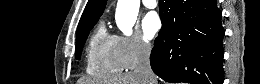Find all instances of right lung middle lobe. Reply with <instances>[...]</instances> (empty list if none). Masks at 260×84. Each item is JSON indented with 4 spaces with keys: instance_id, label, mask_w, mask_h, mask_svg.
I'll return each mask as SVG.
<instances>
[{
    "instance_id": "1",
    "label": "right lung middle lobe",
    "mask_w": 260,
    "mask_h": 84,
    "mask_svg": "<svg viewBox=\"0 0 260 84\" xmlns=\"http://www.w3.org/2000/svg\"><path fill=\"white\" fill-rule=\"evenodd\" d=\"M96 22H94L92 25H90L88 28H86L83 32H81L76 37V49H75V57H76V59H78V60L80 59L81 51H82V48H83L84 43L86 41V38H87V36L89 34V31L93 28V26L95 25Z\"/></svg>"
}]
</instances>
